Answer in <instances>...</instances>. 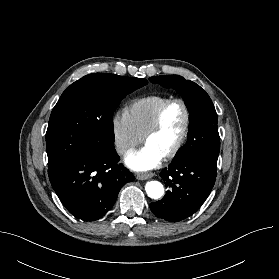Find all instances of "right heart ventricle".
<instances>
[{"instance_id":"1","label":"right heart ventricle","mask_w":279,"mask_h":279,"mask_svg":"<svg viewBox=\"0 0 279 279\" xmlns=\"http://www.w3.org/2000/svg\"><path fill=\"white\" fill-rule=\"evenodd\" d=\"M168 99L163 95H148L132 100L125 108L132 125L143 136L152 123L158 108Z\"/></svg>"}]
</instances>
